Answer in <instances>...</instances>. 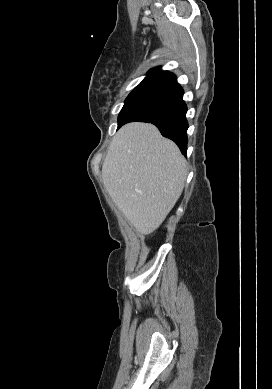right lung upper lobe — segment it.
I'll return each mask as SVG.
<instances>
[{"instance_id": "right-lung-upper-lobe-1", "label": "right lung upper lobe", "mask_w": 272, "mask_h": 389, "mask_svg": "<svg viewBox=\"0 0 272 389\" xmlns=\"http://www.w3.org/2000/svg\"><path fill=\"white\" fill-rule=\"evenodd\" d=\"M174 82H176V76L173 73L153 68L148 71L147 76L140 84H155L164 87Z\"/></svg>"}]
</instances>
